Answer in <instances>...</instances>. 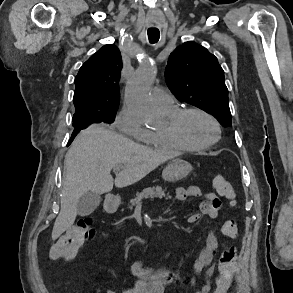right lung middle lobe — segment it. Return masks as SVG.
I'll return each instance as SVG.
<instances>
[{"label": "right lung middle lobe", "mask_w": 293, "mask_h": 293, "mask_svg": "<svg viewBox=\"0 0 293 293\" xmlns=\"http://www.w3.org/2000/svg\"><path fill=\"white\" fill-rule=\"evenodd\" d=\"M116 110L99 112L91 110H77L72 118L74 129H85L93 123H112L115 120Z\"/></svg>", "instance_id": "obj_1"}]
</instances>
